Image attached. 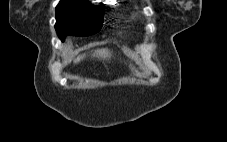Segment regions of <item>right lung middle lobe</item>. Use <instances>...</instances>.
Instances as JSON below:
<instances>
[{
    "instance_id": "obj_1",
    "label": "right lung middle lobe",
    "mask_w": 227,
    "mask_h": 142,
    "mask_svg": "<svg viewBox=\"0 0 227 142\" xmlns=\"http://www.w3.org/2000/svg\"><path fill=\"white\" fill-rule=\"evenodd\" d=\"M104 8L80 0L60 1L56 7L55 29L64 41L67 35L89 36L102 28Z\"/></svg>"
}]
</instances>
